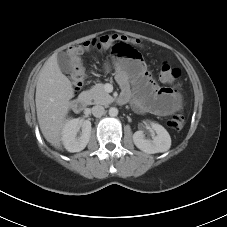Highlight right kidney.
I'll list each match as a JSON object with an SVG mask.
<instances>
[{
    "label": "right kidney",
    "mask_w": 227,
    "mask_h": 227,
    "mask_svg": "<svg viewBox=\"0 0 227 227\" xmlns=\"http://www.w3.org/2000/svg\"><path fill=\"white\" fill-rule=\"evenodd\" d=\"M81 128L82 133L77 137ZM91 135V122L80 118L67 120L62 128V142L69 152L82 151L89 142Z\"/></svg>",
    "instance_id": "obj_1"
}]
</instances>
